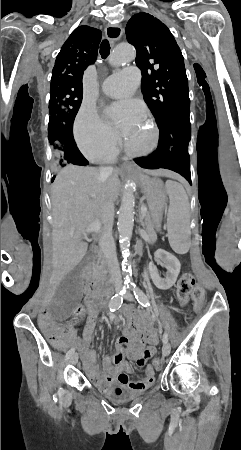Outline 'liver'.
I'll return each mask as SVG.
<instances>
[{"label":"liver","mask_w":241,"mask_h":450,"mask_svg":"<svg viewBox=\"0 0 241 450\" xmlns=\"http://www.w3.org/2000/svg\"><path fill=\"white\" fill-rule=\"evenodd\" d=\"M149 176H166L178 180L177 174L168 170H144ZM113 170L110 176H102L97 168H82L68 164L57 174L51 188L53 230L52 270L50 288L54 290L65 276L83 260L89 240L85 230L94 224L113 222L110 204L116 202L121 184ZM73 234V236H71Z\"/></svg>","instance_id":"liver-1"}]
</instances>
